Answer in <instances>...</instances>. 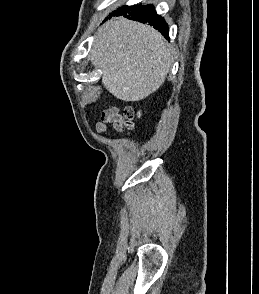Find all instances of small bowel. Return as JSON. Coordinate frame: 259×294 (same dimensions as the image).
Segmentation results:
<instances>
[{
	"mask_svg": "<svg viewBox=\"0 0 259 294\" xmlns=\"http://www.w3.org/2000/svg\"><path fill=\"white\" fill-rule=\"evenodd\" d=\"M110 126L117 131H121L124 126L123 116L116 107H110L103 111L95 128L98 133H105Z\"/></svg>",
	"mask_w": 259,
	"mask_h": 294,
	"instance_id": "small-bowel-1",
	"label": "small bowel"
}]
</instances>
